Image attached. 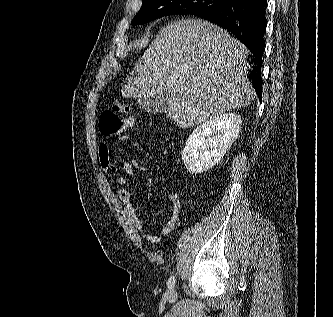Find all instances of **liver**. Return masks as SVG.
Wrapping results in <instances>:
<instances>
[{"mask_svg": "<svg viewBox=\"0 0 333 317\" xmlns=\"http://www.w3.org/2000/svg\"><path fill=\"white\" fill-rule=\"evenodd\" d=\"M247 48L220 27L181 19L163 27L122 88V96H164L166 117L181 128L250 105Z\"/></svg>", "mask_w": 333, "mask_h": 317, "instance_id": "liver-1", "label": "liver"}]
</instances>
